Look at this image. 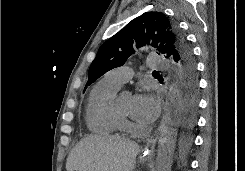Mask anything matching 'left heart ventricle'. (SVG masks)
<instances>
[{
    "label": "left heart ventricle",
    "instance_id": "obj_1",
    "mask_svg": "<svg viewBox=\"0 0 245 171\" xmlns=\"http://www.w3.org/2000/svg\"><path fill=\"white\" fill-rule=\"evenodd\" d=\"M133 95L125 96L118 104L117 109L124 114L130 115L133 106Z\"/></svg>",
    "mask_w": 245,
    "mask_h": 171
}]
</instances>
